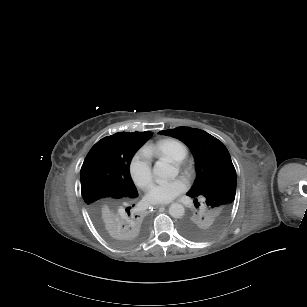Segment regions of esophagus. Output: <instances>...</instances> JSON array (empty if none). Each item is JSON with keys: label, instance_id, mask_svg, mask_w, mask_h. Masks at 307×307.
<instances>
[{"label": "esophagus", "instance_id": "34e87169", "mask_svg": "<svg viewBox=\"0 0 307 307\" xmlns=\"http://www.w3.org/2000/svg\"><path fill=\"white\" fill-rule=\"evenodd\" d=\"M162 205H160V204H158V205H154L153 207L154 208H159V207H161Z\"/></svg>", "mask_w": 307, "mask_h": 307}]
</instances>
